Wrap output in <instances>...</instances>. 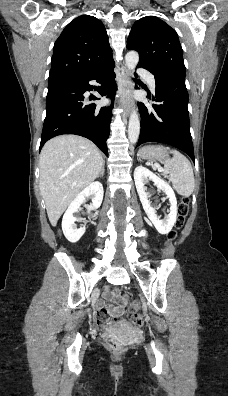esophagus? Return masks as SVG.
<instances>
[{
	"label": "esophagus",
	"instance_id": "34e87169",
	"mask_svg": "<svg viewBox=\"0 0 228 396\" xmlns=\"http://www.w3.org/2000/svg\"><path fill=\"white\" fill-rule=\"evenodd\" d=\"M131 91H132V86L129 78V71L127 68H123L121 71V90H120L121 96L119 100V106L123 108L126 117L129 116L131 111V105H132Z\"/></svg>",
	"mask_w": 228,
	"mask_h": 396
}]
</instances>
